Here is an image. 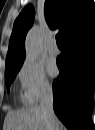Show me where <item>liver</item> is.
<instances>
[{"mask_svg": "<svg viewBox=\"0 0 95 130\" xmlns=\"http://www.w3.org/2000/svg\"><path fill=\"white\" fill-rule=\"evenodd\" d=\"M3 128V130H49L39 106L10 110L5 117ZM58 128L62 130L59 121Z\"/></svg>", "mask_w": 95, "mask_h": 130, "instance_id": "obj_1", "label": "liver"}]
</instances>
